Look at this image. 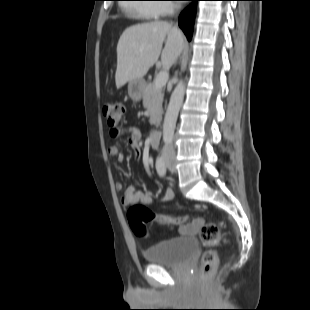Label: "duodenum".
<instances>
[{
    "label": "duodenum",
    "mask_w": 310,
    "mask_h": 310,
    "mask_svg": "<svg viewBox=\"0 0 310 310\" xmlns=\"http://www.w3.org/2000/svg\"><path fill=\"white\" fill-rule=\"evenodd\" d=\"M161 135L162 133L160 130H154L150 133V143L153 148L155 149L159 148Z\"/></svg>",
    "instance_id": "duodenum-1"
}]
</instances>
